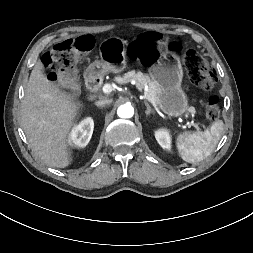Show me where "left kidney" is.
<instances>
[{"label": "left kidney", "mask_w": 253, "mask_h": 253, "mask_svg": "<svg viewBox=\"0 0 253 253\" xmlns=\"http://www.w3.org/2000/svg\"><path fill=\"white\" fill-rule=\"evenodd\" d=\"M155 138L163 149H166V150L171 149V137L167 130L161 129V130L156 131Z\"/></svg>", "instance_id": "left-kidney-1"}]
</instances>
